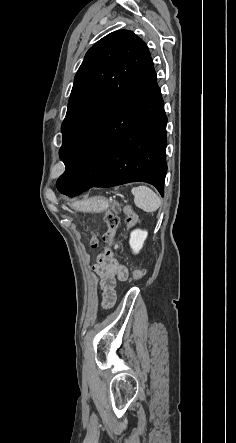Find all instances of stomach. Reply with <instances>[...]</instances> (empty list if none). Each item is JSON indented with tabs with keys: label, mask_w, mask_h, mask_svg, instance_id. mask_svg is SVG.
<instances>
[{
	"label": "stomach",
	"mask_w": 236,
	"mask_h": 443,
	"mask_svg": "<svg viewBox=\"0 0 236 443\" xmlns=\"http://www.w3.org/2000/svg\"><path fill=\"white\" fill-rule=\"evenodd\" d=\"M76 206L82 207L83 210L86 211H96L102 212L106 210L109 206V202L107 199L103 197H94L79 203H76Z\"/></svg>",
	"instance_id": "obj_1"
}]
</instances>
